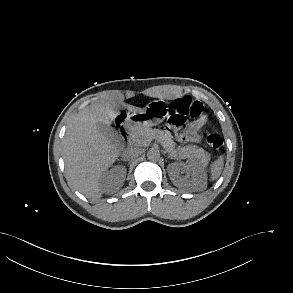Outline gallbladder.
<instances>
[{"label":"gallbladder","mask_w":293,"mask_h":293,"mask_svg":"<svg viewBox=\"0 0 293 293\" xmlns=\"http://www.w3.org/2000/svg\"><path fill=\"white\" fill-rule=\"evenodd\" d=\"M97 128L110 141L118 144L121 142L120 136L111 126L103 123H98Z\"/></svg>","instance_id":"obj_1"}]
</instances>
